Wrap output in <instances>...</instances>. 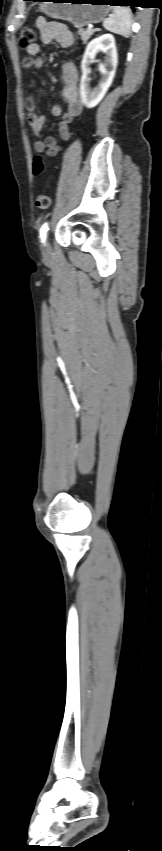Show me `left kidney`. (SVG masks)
<instances>
[{
	"label": "left kidney",
	"instance_id": "5707ae66",
	"mask_svg": "<svg viewBox=\"0 0 162 851\" xmlns=\"http://www.w3.org/2000/svg\"><path fill=\"white\" fill-rule=\"evenodd\" d=\"M98 52L105 54L103 63L98 68L100 81L94 88L90 86V65L95 61ZM118 64L117 50L114 36L104 34L89 42L81 62L82 76L80 80V96L82 103L87 108L95 107L105 96L112 84Z\"/></svg>",
	"mask_w": 162,
	"mask_h": 851
}]
</instances>
